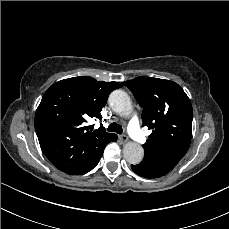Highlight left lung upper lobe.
Listing matches in <instances>:
<instances>
[{
  "instance_id": "5c2ea615",
  "label": "left lung upper lobe",
  "mask_w": 229,
  "mask_h": 229,
  "mask_svg": "<svg viewBox=\"0 0 229 229\" xmlns=\"http://www.w3.org/2000/svg\"><path fill=\"white\" fill-rule=\"evenodd\" d=\"M142 112L143 126L152 129L143 145L142 164L156 174L169 173L186 154L192 135V105L180 85L173 81L137 77L123 82Z\"/></svg>"
}]
</instances>
